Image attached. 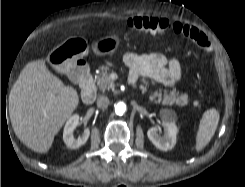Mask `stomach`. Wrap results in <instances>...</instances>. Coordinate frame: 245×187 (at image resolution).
I'll return each mask as SVG.
<instances>
[{
    "instance_id": "0dacf381",
    "label": "stomach",
    "mask_w": 245,
    "mask_h": 187,
    "mask_svg": "<svg viewBox=\"0 0 245 187\" xmlns=\"http://www.w3.org/2000/svg\"><path fill=\"white\" fill-rule=\"evenodd\" d=\"M120 44L121 39L119 36H106L93 44V51L97 56L111 55L117 51ZM88 52L89 45L84 38L70 37L49 53L47 62L56 71L67 73Z\"/></svg>"
}]
</instances>
